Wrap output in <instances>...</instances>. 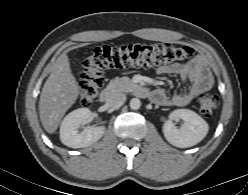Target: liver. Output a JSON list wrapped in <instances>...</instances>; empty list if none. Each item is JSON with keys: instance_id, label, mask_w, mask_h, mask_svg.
<instances>
[{"instance_id": "liver-1", "label": "liver", "mask_w": 248, "mask_h": 195, "mask_svg": "<svg viewBox=\"0 0 248 195\" xmlns=\"http://www.w3.org/2000/svg\"><path fill=\"white\" fill-rule=\"evenodd\" d=\"M79 93V84L71 73L68 56L62 53L52 65L39 99L40 120L46 132L53 134L57 130Z\"/></svg>"}]
</instances>
